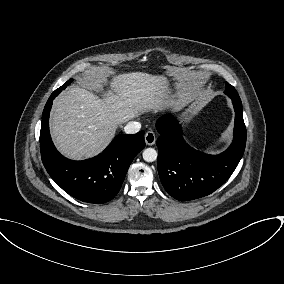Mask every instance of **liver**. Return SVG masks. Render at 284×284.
<instances>
[{
    "label": "liver",
    "instance_id": "liver-1",
    "mask_svg": "<svg viewBox=\"0 0 284 284\" xmlns=\"http://www.w3.org/2000/svg\"><path fill=\"white\" fill-rule=\"evenodd\" d=\"M105 81V80H104ZM102 98L84 88H71L54 101L51 136L57 149L75 160L99 154L113 139L116 129L143 112L154 113L177 104L169 96L164 76L144 72L114 75Z\"/></svg>",
    "mask_w": 284,
    "mask_h": 284
}]
</instances>
